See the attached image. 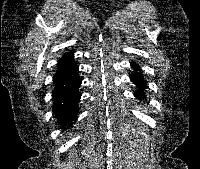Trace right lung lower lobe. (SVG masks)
<instances>
[{"instance_id": "1", "label": "right lung lower lobe", "mask_w": 200, "mask_h": 169, "mask_svg": "<svg viewBox=\"0 0 200 169\" xmlns=\"http://www.w3.org/2000/svg\"><path fill=\"white\" fill-rule=\"evenodd\" d=\"M77 70L73 57H70L58 62V70L54 75L53 111L63 126L70 124L78 112L81 79Z\"/></svg>"}]
</instances>
